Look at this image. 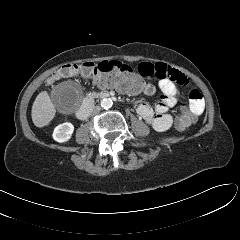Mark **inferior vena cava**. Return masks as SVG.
<instances>
[{
    "instance_id": "602c4592",
    "label": "inferior vena cava",
    "mask_w": 240,
    "mask_h": 240,
    "mask_svg": "<svg viewBox=\"0 0 240 240\" xmlns=\"http://www.w3.org/2000/svg\"><path fill=\"white\" fill-rule=\"evenodd\" d=\"M100 110H101V107H100V106H94V107H92V108L90 109V112H91V113H94V114H97V113L100 112Z\"/></svg>"
}]
</instances>
